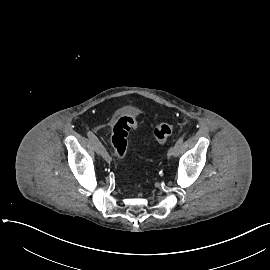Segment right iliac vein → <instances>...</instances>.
Returning a JSON list of instances; mask_svg holds the SVG:
<instances>
[{
	"label": "right iliac vein",
	"instance_id": "obj_1",
	"mask_svg": "<svg viewBox=\"0 0 270 270\" xmlns=\"http://www.w3.org/2000/svg\"><path fill=\"white\" fill-rule=\"evenodd\" d=\"M91 142H92V145H93V148H94L95 152H96L97 154H101L98 145H97L95 142H93V141H91Z\"/></svg>",
	"mask_w": 270,
	"mask_h": 270
}]
</instances>
